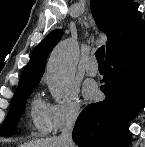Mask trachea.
Segmentation results:
<instances>
[{
  "mask_svg": "<svg viewBox=\"0 0 145 147\" xmlns=\"http://www.w3.org/2000/svg\"><path fill=\"white\" fill-rule=\"evenodd\" d=\"M104 55H105V47L101 46L95 53L99 65H105Z\"/></svg>",
  "mask_w": 145,
  "mask_h": 147,
  "instance_id": "trachea-1",
  "label": "trachea"
}]
</instances>
